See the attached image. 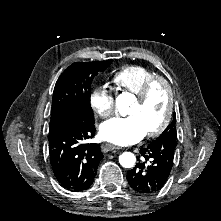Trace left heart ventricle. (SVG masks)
Here are the masks:
<instances>
[{"mask_svg":"<svg viewBox=\"0 0 221 221\" xmlns=\"http://www.w3.org/2000/svg\"><path fill=\"white\" fill-rule=\"evenodd\" d=\"M167 104L166 88L163 85H157L144 104L139 105L135 100L127 115L135 117L147 133L162 122L167 112Z\"/></svg>","mask_w":221,"mask_h":221,"instance_id":"1","label":"left heart ventricle"}]
</instances>
